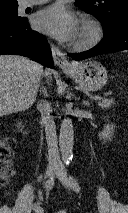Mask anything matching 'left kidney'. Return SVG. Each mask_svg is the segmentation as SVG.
Returning <instances> with one entry per match:
<instances>
[{
  "instance_id": "obj_1",
  "label": "left kidney",
  "mask_w": 128,
  "mask_h": 213,
  "mask_svg": "<svg viewBox=\"0 0 128 213\" xmlns=\"http://www.w3.org/2000/svg\"><path fill=\"white\" fill-rule=\"evenodd\" d=\"M114 125L113 124H107L104 126V129L99 134V138L103 140H111L113 132H114Z\"/></svg>"
}]
</instances>
